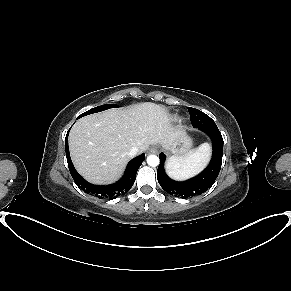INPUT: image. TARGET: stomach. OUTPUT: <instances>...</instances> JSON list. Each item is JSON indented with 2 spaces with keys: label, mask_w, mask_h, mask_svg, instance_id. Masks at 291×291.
Listing matches in <instances>:
<instances>
[{
  "label": "stomach",
  "mask_w": 291,
  "mask_h": 291,
  "mask_svg": "<svg viewBox=\"0 0 291 291\" xmlns=\"http://www.w3.org/2000/svg\"><path fill=\"white\" fill-rule=\"evenodd\" d=\"M191 144V139L183 135L173 143V145L169 148V151L174 154V156H182L187 153L191 147Z\"/></svg>",
  "instance_id": "1"
}]
</instances>
